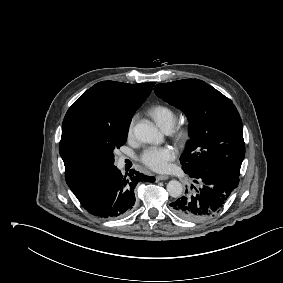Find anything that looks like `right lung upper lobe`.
Instances as JSON below:
<instances>
[{
	"mask_svg": "<svg viewBox=\"0 0 283 283\" xmlns=\"http://www.w3.org/2000/svg\"><path fill=\"white\" fill-rule=\"evenodd\" d=\"M154 84L102 81L88 89L69 108L62 124L59 152L65 165V179L71 190L100 176L109 168L99 154L87 147L86 141L106 128L130 123Z\"/></svg>",
	"mask_w": 283,
	"mask_h": 283,
	"instance_id": "1",
	"label": "right lung upper lobe"
}]
</instances>
